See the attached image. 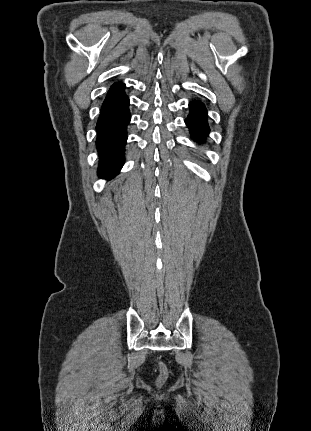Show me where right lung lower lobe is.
I'll use <instances>...</instances> for the list:
<instances>
[{
    "label": "right lung lower lobe",
    "mask_w": 311,
    "mask_h": 431,
    "mask_svg": "<svg viewBox=\"0 0 311 431\" xmlns=\"http://www.w3.org/2000/svg\"><path fill=\"white\" fill-rule=\"evenodd\" d=\"M124 88L122 82L112 85L97 122L96 144L100 155L98 174L103 178L114 177L124 163L126 128L130 122L129 99Z\"/></svg>",
    "instance_id": "98d812e1"
}]
</instances>
